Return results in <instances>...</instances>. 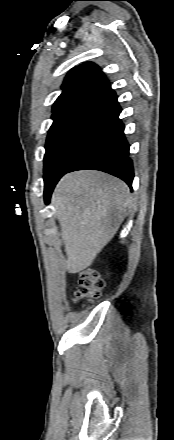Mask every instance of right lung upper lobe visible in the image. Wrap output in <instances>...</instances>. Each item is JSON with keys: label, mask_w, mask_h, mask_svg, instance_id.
I'll list each match as a JSON object with an SVG mask.
<instances>
[{"label": "right lung upper lobe", "mask_w": 174, "mask_h": 440, "mask_svg": "<svg viewBox=\"0 0 174 440\" xmlns=\"http://www.w3.org/2000/svg\"><path fill=\"white\" fill-rule=\"evenodd\" d=\"M110 84L98 66L86 63L74 67L65 77L63 92L55 101L53 114L89 98H99Z\"/></svg>", "instance_id": "right-lung-upper-lobe-1"}]
</instances>
